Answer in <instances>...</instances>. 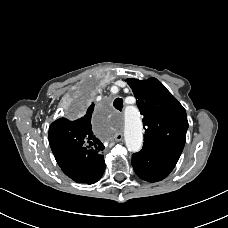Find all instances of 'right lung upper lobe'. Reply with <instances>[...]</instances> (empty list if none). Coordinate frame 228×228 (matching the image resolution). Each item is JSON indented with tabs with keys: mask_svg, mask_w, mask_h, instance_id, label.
Listing matches in <instances>:
<instances>
[{
	"mask_svg": "<svg viewBox=\"0 0 228 228\" xmlns=\"http://www.w3.org/2000/svg\"><path fill=\"white\" fill-rule=\"evenodd\" d=\"M93 110L94 104H91L80 118L75 120L60 118L50 125L48 136L54 156L77 149L85 152H103L104 145L92 130Z\"/></svg>",
	"mask_w": 228,
	"mask_h": 228,
	"instance_id": "right-lung-upper-lobe-1",
	"label": "right lung upper lobe"
}]
</instances>
